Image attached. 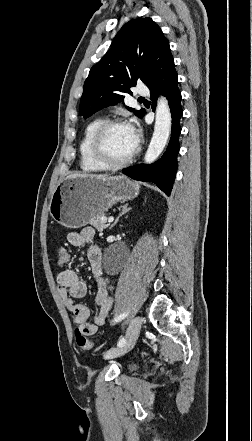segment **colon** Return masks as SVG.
<instances>
[{"label":"colon","mask_w":252,"mask_h":441,"mask_svg":"<svg viewBox=\"0 0 252 441\" xmlns=\"http://www.w3.org/2000/svg\"><path fill=\"white\" fill-rule=\"evenodd\" d=\"M70 262V253L65 246H59L57 248V265L63 267ZM76 342L79 348L86 352L92 347L91 341L85 336L79 327L75 331Z\"/></svg>","instance_id":"obj_1"}]
</instances>
